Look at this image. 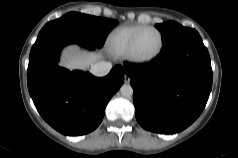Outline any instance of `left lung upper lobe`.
Returning <instances> with one entry per match:
<instances>
[{
	"label": "left lung upper lobe",
	"instance_id": "left-lung-upper-lobe-1",
	"mask_svg": "<svg viewBox=\"0 0 238 158\" xmlns=\"http://www.w3.org/2000/svg\"><path fill=\"white\" fill-rule=\"evenodd\" d=\"M156 27L162 33L164 48L197 34L196 30L183 27L174 21L157 24Z\"/></svg>",
	"mask_w": 238,
	"mask_h": 158
}]
</instances>
